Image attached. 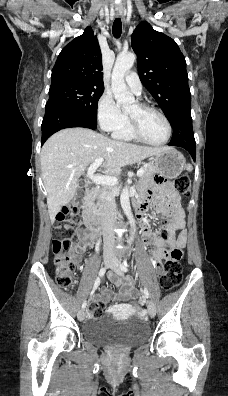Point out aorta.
Returning a JSON list of instances; mask_svg holds the SVG:
<instances>
[{"mask_svg":"<svg viewBox=\"0 0 228 396\" xmlns=\"http://www.w3.org/2000/svg\"><path fill=\"white\" fill-rule=\"evenodd\" d=\"M136 56L134 53H123L120 54L115 62L112 77H111V89L117 105L123 110H128L135 103L133 94L128 90L124 77L127 71L134 65ZM121 207L127 216L129 223L132 227L131 237L128 241L131 244L134 240L135 234V220L131 211L130 200H129V188L125 186L120 195Z\"/></svg>","mask_w":228,"mask_h":396,"instance_id":"obj_1","label":"aorta"}]
</instances>
